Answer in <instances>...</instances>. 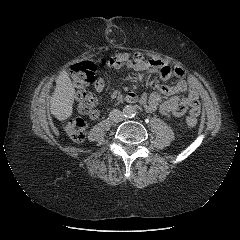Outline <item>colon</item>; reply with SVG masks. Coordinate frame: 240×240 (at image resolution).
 Segmentation results:
<instances>
[{
  "instance_id": "colon-1",
  "label": "colon",
  "mask_w": 240,
  "mask_h": 240,
  "mask_svg": "<svg viewBox=\"0 0 240 240\" xmlns=\"http://www.w3.org/2000/svg\"><path fill=\"white\" fill-rule=\"evenodd\" d=\"M96 63L94 61H82L71 66L70 75L77 90L76 98L79 110L83 114L90 115L96 109V99L88 91V87L95 81ZM186 124L194 127L197 118L188 116ZM67 135L75 142H82L85 138L86 121L83 117L71 118L65 126Z\"/></svg>"
}]
</instances>
